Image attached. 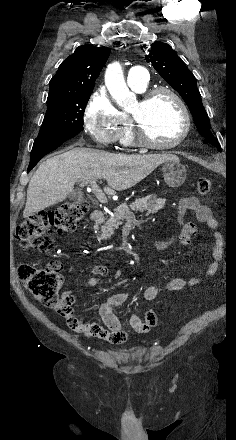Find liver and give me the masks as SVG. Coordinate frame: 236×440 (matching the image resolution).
Wrapping results in <instances>:
<instances>
[{"label":"liver","instance_id":"1","mask_svg":"<svg viewBox=\"0 0 236 440\" xmlns=\"http://www.w3.org/2000/svg\"><path fill=\"white\" fill-rule=\"evenodd\" d=\"M177 159L172 154L126 155L87 148H72L44 161L30 179L23 217L55 205L73 191L76 182L104 178V191L114 195L135 186L160 164Z\"/></svg>","mask_w":236,"mask_h":440}]
</instances>
